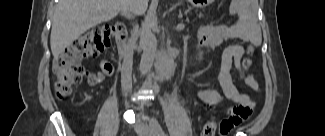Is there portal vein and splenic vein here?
<instances>
[{
  "mask_svg": "<svg viewBox=\"0 0 325 136\" xmlns=\"http://www.w3.org/2000/svg\"><path fill=\"white\" fill-rule=\"evenodd\" d=\"M129 16H130V15H129ZM178 28H180V29L184 28V24H179V25H178Z\"/></svg>",
  "mask_w": 325,
  "mask_h": 136,
  "instance_id": "portal-vein-and-splenic-vein-1",
  "label": "portal vein and splenic vein"
}]
</instances>
